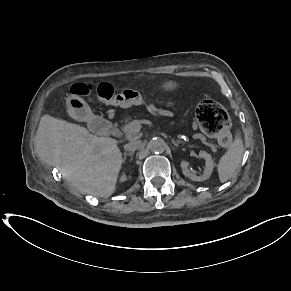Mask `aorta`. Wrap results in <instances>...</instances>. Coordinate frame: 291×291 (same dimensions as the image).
Returning <instances> with one entry per match:
<instances>
[{"label":"aorta","instance_id":"obj_1","mask_svg":"<svg viewBox=\"0 0 291 291\" xmlns=\"http://www.w3.org/2000/svg\"><path fill=\"white\" fill-rule=\"evenodd\" d=\"M148 147L152 152L162 153L166 148V143L162 138L155 137L150 140V142L148 143Z\"/></svg>","mask_w":291,"mask_h":291}]
</instances>
